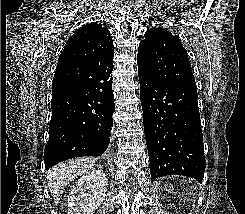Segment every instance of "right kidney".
<instances>
[{
	"label": "right kidney",
	"instance_id": "obj_1",
	"mask_svg": "<svg viewBox=\"0 0 245 214\" xmlns=\"http://www.w3.org/2000/svg\"><path fill=\"white\" fill-rule=\"evenodd\" d=\"M108 180L101 170H93L78 180L68 196V214H94L107 192Z\"/></svg>",
	"mask_w": 245,
	"mask_h": 214
}]
</instances>
